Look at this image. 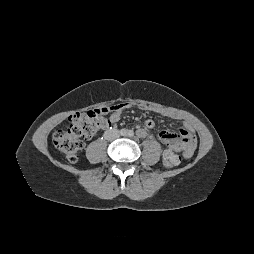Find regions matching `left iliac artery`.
<instances>
[{
	"instance_id": "left-iliac-artery-1",
	"label": "left iliac artery",
	"mask_w": 254,
	"mask_h": 254,
	"mask_svg": "<svg viewBox=\"0 0 254 254\" xmlns=\"http://www.w3.org/2000/svg\"><path fill=\"white\" fill-rule=\"evenodd\" d=\"M127 135H128L129 137H132V136H134V132H133L132 130H129V131L127 132Z\"/></svg>"
}]
</instances>
